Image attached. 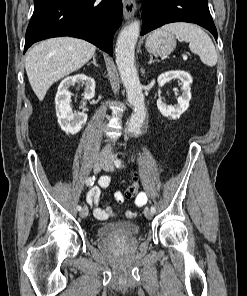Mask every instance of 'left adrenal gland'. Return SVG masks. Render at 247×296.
I'll return each mask as SVG.
<instances>
[{"instance_id":"1","label":"left adrenal gland","mask_w":247,"mask_h":296,"mask_svg":"<svg viewBox=\"0 0 247 296\" xmlns=\"http://www.w3.org/2000/svg\"><path fill=\"white\" fill-rule=\"evenodd\" d=\"M156 61H158V60H154V59H153V56L150 55V60H149L148 64H152V63H154V62H156Z\"/></svg>"}]
</instances>
